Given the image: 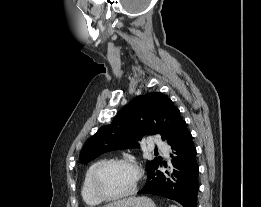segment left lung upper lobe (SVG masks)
Wrapping results in <instances>:
<instances>
[{
  "instance_id": "left-lung-upper-lobe-1",
  "label": "left lung upper lobe",
  "mask_w": 261,
  "mask_h": 207,
  "mask_svg": "<svg viewBox=\"0 0 261 207\" xmlns=\"http://www.w3.org/2000/svg\"><path fill=\"white\" fill-rule=\"evenodd\" d=\"M182 121L180 111L164 94L156 92L137 96L120 110L110 125L101 127L86 141L79 161L89 162L108 151L137 147V140L145 134H160L170 144ZM161 160V157H156L147 161V173Z\"/></svg>"
}]
</instances>
